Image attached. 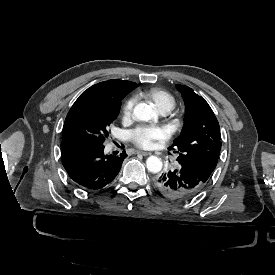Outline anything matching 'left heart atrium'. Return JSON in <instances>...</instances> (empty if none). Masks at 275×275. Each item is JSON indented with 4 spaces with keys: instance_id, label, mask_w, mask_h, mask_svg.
<instances>
[{
    "instance_id": "1",
    "label": "left heart atrium",
    "mask_w": 275,
    "mask_h": 275,
    "mask_svg": "<svg viewBox=\"0 0 275 275\" xmlns=\"http://www.w3.org/2000/svg\"><path fill=\"white\" fill-rule=\"evenodd\" d=\"M129 139L139 148L151 149L158 144L167 141L170 130L165 126L139 125L127 132Z\"/></svg>"
}]
</instances>
